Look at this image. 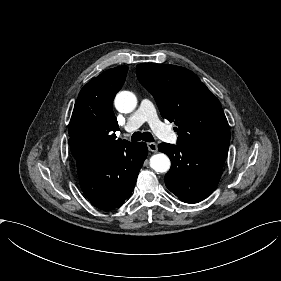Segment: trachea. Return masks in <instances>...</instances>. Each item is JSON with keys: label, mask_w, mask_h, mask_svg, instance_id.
<instances>
[{"label": "trachea", "mask_w": 281, "mask_h": 281, "mask_svg": "<svg viewBox=\"0 0 281 281\" xmlns=\"http://www.w3.org/2000/svg\"><path fill=\"white\" fill-rule=\"evenodd\" d=\"M131 139L133 142H137L140 140H144L145 142H152L154 141V138L150 132H134L131 136Z\"/></svg>", "instance_id": "1"}]
</instances>
